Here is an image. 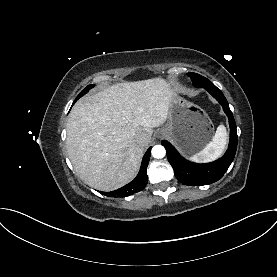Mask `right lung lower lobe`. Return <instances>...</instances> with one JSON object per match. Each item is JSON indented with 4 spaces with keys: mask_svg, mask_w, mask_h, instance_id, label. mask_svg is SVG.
Returning <instances> with one entry per match:
<instances>
[{
    "mask_svg": "<svg viewBox=\"0 0 277 277\" xmlns=\"http://www.w3.org/2000/svg\"><path fill=\"white\" fill-rule=\"evenodd\" d=\"M150 151H151V147L145 153L142 160L140 171L132 182L115 191L100 192V193L108 197H126L134 193H137L139 191H142L148 182V176H147L146 170L150 159Z\"/></svg>",
    "mask_w": 277,
    "mask_h": 277,
    "instance_id": "1",
    "label": "right lung lower lobe"
}]
</instances>
